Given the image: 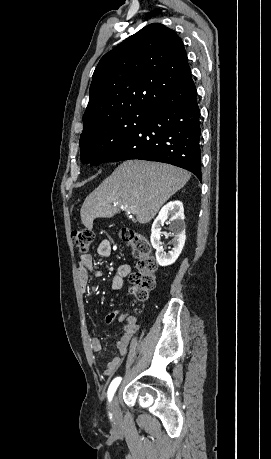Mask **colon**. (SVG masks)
I'll list each match as a JSON object with an SVG mask.
<instances>
[{
    "label": "colon",
    "mask_w": 271,
    "mask_h": 459,
    "mask_svg": "<svg viewBox=\"0 0 271 459\" xmlns=\"http://www.w3.org/2000/svg\"><path fill=\"white\" fill-rule=\"evenodd\" d=\"M121 239L126 242L138 259V270L129 276L130 291L138 300H145L155 286L157 260L152 254V246L147 238L133 229L123 228ZM73 245L81 252H86L91 246L94 234L91 230L77 229L71 234Z\"/></svg>",
    "instance_id": "obj_1"
}]
</instances>
